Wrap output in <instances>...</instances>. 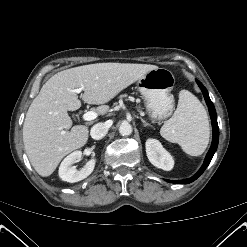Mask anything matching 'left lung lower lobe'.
<instances>
[{"instance_id": "1", "label": "left lung lower lobe", "mask_w": 247, "mask_h": 247, "mask_svg": "<svg viewBox=\"0 0 247 247\" xmlns=\"http://www.w3.org/2000/svg\"><path fill=\"white\" fill-rule=\"evenodd\" d=\"M197 83H198V85H199V87H200V89L204 95L206 104H207L208 109H209L210 117H211L212 128H213L212 144H211V147H210V149L206 155V158L204 160L202 167L199 169V171L195 175H193L191 178L184 179V180H166V181L171 182V183L188 184V183L195 181L205 171V169L207 168V166L211 162L213 155H214V153L217 149V146H218L219 128H218V123H217V115H216L215 107L209 98V95H208L206 88L203 86V84L200 81L197 80Z\"/></svg>"}]
</instances>
